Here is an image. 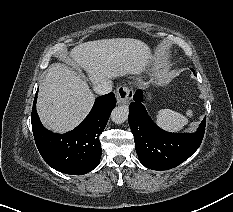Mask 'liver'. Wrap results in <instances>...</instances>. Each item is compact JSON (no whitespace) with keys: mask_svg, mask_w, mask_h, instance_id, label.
Instances as JSON below:
<instances>
[{"mask_svg":"<svg viewBox=\"0 0 233 212\" xmlns=\"http://www.w3.org/2000/svg\"><path fill=\"white\" fill-rule=\"evenodd\" d=\"M151 59L149 46L138 39L113 38L81 43L68 60L89 75L93 84L126 74H139ZM95 96L80 75L65 64H52L40 87L37 111L41 122L57 133L76 127L91 110Z\"/></svg>","mask_w":233,"mask_h":212,"instance_id":"1","label":"liver"}]
</instances>
